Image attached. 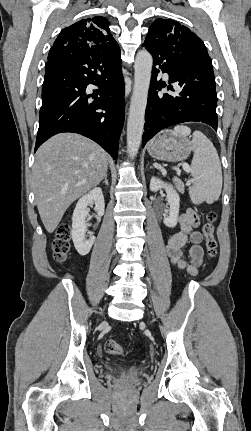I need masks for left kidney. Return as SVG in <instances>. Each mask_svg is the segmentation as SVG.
Returning <instances> with one entry per match:
<instances>
[{"mask_svg": "<svg viewBox=\"0 0 251 431\" xmlns=\"http://www.w3.org/2000/svg\"><path fill=\"white\" fill-rule=\"evenodd\" d=\"M161 188L165 189L167 193V200L170 205L169 216L165 217L163 222L167 227L173 228L178 222L180 198L172 185L163 182L159 178L152 177L150 181V190L152 192H156Z\"/></svg>", "mask_w": 251, "mask_h": 431, "instance_id": "5707ae66", "label": "left kidney"}]
</instances>
